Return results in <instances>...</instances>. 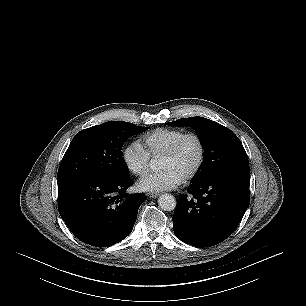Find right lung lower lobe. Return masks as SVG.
<instances>
[{
    "instance_id": "right-lung-lower-lobe-1",
    "label": "right lung lower lobe",
    "mask_w": 306,
    "mask_h": 306,
    "mask_svg": "<svg viewBox=\"0 0 306 306\" xmlns=\"http://www.w3.org/2000/svg\"><path fill=\"white\" fill-rule=\"evenodd\" d=\"M130 177L86 176L58 187L59 213L82 242L108 247L126 238L135 224L143 193L126 194Z\"/></svg>"
}]
</instances>
